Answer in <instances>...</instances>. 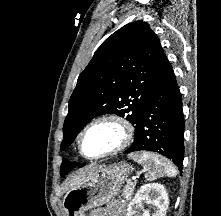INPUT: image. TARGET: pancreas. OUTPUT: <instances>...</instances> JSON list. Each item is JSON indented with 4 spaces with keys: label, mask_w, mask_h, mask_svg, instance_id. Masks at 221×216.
I'll use <instances>...</instances> for the list:
<instances>
[{
    "label": "pancreas",
    "mask_w": 221,
    "mask_h": 216,
    "mask_svg": "<svg viewBox=\"0 0 221 216\" xmlns=\"http://www.w3.org/2000/svg\"><path fill=\"white\" fill-rule=\"evenodd\" d=\"M135 189V184L128 182V184L123 189V196L126 200H131L133 192Z\"/></svg>",
    "instance_id": "obj_1"
}]
</instances>
